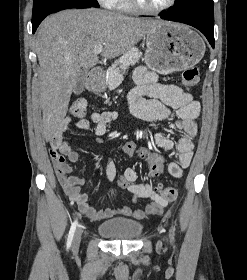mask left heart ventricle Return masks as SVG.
I'll return each instance as SVG.
<instances>
[{
	"label": "left heart ventricle",
	"instance_id": "left-heart-ventricle-1",
	"mask_svg": "<svg viewBox=\"0 0 247 280\" xmlns=\"http://www.w3.org/2000/svg\"><path fill=\"white\" fill-rule=\"evenodd\" d=\"M144 6L156 8L165 5L168 0H139Z\"/></svg>",
	"mask_w": 247,
	"mask_h": 280
}]
</instances>
